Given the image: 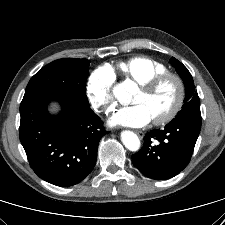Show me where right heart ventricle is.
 <instances>
[{"mask_svg":"<svg viewBox=\"0 0 225 225\" xmlns=\"http://www.w3.org/2000/svg\"><path fill=\"white\" fill-rule=\"evenodd\" d=\"M118 70L129 80L138 84L167 72V67L152 58L135 56L117 64Z\"/></svg>","mask_w":225,"mask_h":225,"instance_id":"e07e8e85","label":"right heart ventricle"}]
</instances>
